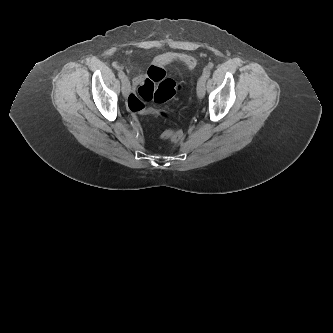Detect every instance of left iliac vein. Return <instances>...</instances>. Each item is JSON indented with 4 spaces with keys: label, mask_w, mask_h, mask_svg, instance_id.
<instances>
[{
    "label": "left iliac vein",
    "mask_w": 333,
    "mask_h": 333,
    "mask_svg": "<svg viewBox=\"0 0 333 333\" xmlns=\"http://www.w3.org/2000/svg\"><path fill=\"white\" fill-rule=\"evenodd\" d=\"M197 96L199 99L204 98L205 96V81L201 79L197 85Z\"/></svg>",
    "instance_id": "left-iliac-vein-1"
}]
</instances>
